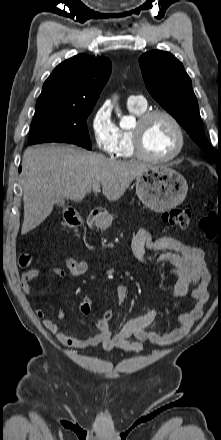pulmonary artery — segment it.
Instances as JSON below:
<instances>
[{"label": "pulmonary artery", "instance_id": "e3ab8cb5", "mask_svg": "<svg viewBox=\"0 0 221 440\" xmlns=\"http://www.w3.org/2000/svg\"><path fill=\"white\" fill-rule=\"evenodd\" d=\"M128 103H136V104L144 105L146 104V100L143 96L131 95L128 97Z\"/></svg>", "mask_w": 221, "mask_h": 440}]
</instances>
